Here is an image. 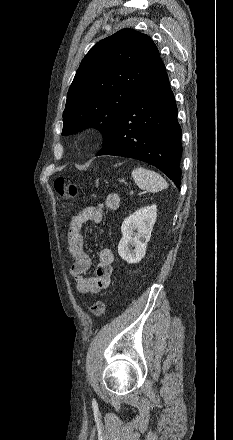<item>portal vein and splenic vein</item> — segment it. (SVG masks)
<instances>
[{"instance_id": "18ae733b", "label": "portal vein and splenic vein", "mask_w": 233, "mask_h": 440, "mask_svg": "<svg viewBox=\"0 0 233 440\" xmlns=\"http://www.w3.org/2000/svg\"><path fill=\"white\" fill-rule=\"evenodd\" d=\"M143 193H146V192H144V191H139V194H143ZM130 194L133 195V191H131Z\"/></svg>"}]
</instances>
